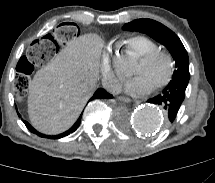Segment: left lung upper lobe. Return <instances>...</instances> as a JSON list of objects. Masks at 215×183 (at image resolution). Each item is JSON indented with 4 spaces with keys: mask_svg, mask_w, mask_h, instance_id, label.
Wrapping results in <instances>:
<instances>
[{
    "mask_svg": "<svg viewBox=\"0 0 215 183\" xmlns=\"http://www.w3.org/2000/svg\"><path fill=\"white\" fill-rule=\"evenodd\" d=\"M123 30L146 33L159 43L163 44L175 60L176 70L172 80L182 79L189 81V58L179 37L163 24L151 19H138L123 26Z\"/></svg>",
    "mask_w": 215,
    "mask_h": 183,
    "instance_id": "1",
    "label": "left lung upper lobe"
}]
</instances>
